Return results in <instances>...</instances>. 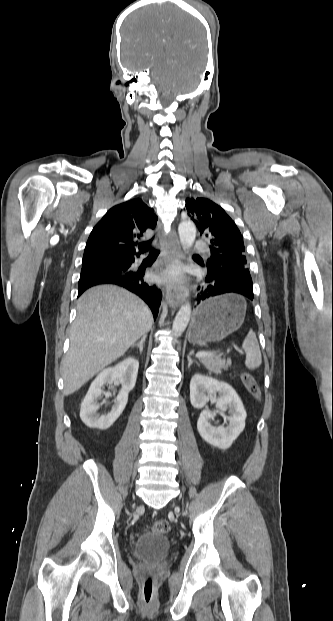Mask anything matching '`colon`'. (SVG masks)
Segmentation results:
<instances>
[{"instance_id":"obj_1","label":"colon","mask_w":333,"mask_h":621,"mask_svg":"<svg viewBox=\"0 0 333 621\" xmlns=\"http://www.w3.org/2000/svg\"><path fill=\"white\" fill-rule=\"evenodd\" d=\"M241 379L246 390L255 398L260 396V387L256 379L248 372H243ZM169 524L166 520H157L149 528L153 533L165 534L169 531ZM154 595V581L151 575H148L142 587V600L145 603H151Z\"/></svg>"}]
</instances>
